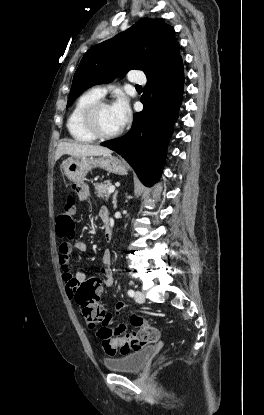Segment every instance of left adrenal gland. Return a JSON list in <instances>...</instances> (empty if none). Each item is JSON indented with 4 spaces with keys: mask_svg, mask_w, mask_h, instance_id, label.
I'll return each mask as SVG.
<instances>
[{
    "mask_svg": "<svg viewBox=\"0 0 264 415\" xmlns=\"http://www.w3.org/2000/svg\"><path fill=\"white\" fill-rule=\"evenodd\" d=\"M117 194L118 191H115L114 195H113V208L115 209L117 206Z\"/></svg>",
    "mask_w": 264,
    "mask_h": 415,
    "instance_id": "a2214340",
    "label": "left adrenal gland"
}]
</instances>
